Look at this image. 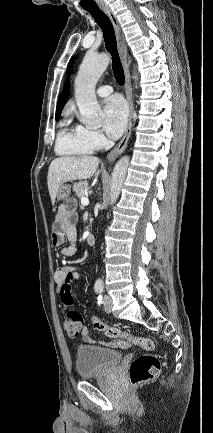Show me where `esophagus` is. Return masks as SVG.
I'll return each mask as SVG.
<instances>
[{
    "mask_svg": "<svg viewBox=\"0 0 213 433\" xmlns=\"http://www.w3.org/2000/svg\"><path fill=\"white\" fill-rule=\"evenodd\" d=\"M100 8L103 10L105 14L109 17L111 20L116 40H117V46L120 54V58L123 64L124 68V74H125V94L126 99L129 105V117H128V123L127 128L125 131V134L123 138L120 140V142L113 148V150L109 153L107 159L109 162L114 161L119 155H121L124 150L127 147L130 135H131V129H132V118H133V102H132V88H131V79H130V72H129V66L127 62V48L124 42L123 35L121 33L119 22L116 18V15L114 12L105 4H101Z\"/></svg>",
    "mask_w": 213,
    "mask_h": 433,
    "instance_id": "esophagus-1",
    "label": "esophagus"
}]
</instances>
